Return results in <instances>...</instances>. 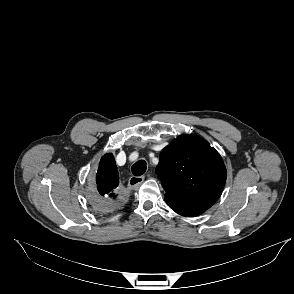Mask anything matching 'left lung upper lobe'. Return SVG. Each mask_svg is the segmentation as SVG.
<instances>
[{
    "mask_svg": "<svg viewBox=\"0 0 294 294\" xmlns=\"http://www.w3.org/2000/svg\"><path fill=\"white\" fill-rule=\"evenodd\" d=\"M155 172L167 204L186 217L209 209L221 196L227 177L219 153L194 134L181 135L166 146Z\"/></svg>",
    "mask_w": 294,
    "mask_h": 294,
    "instance_id": "5c2ea615",
    "label": "left lung upper lobe"
}]
</instances>
